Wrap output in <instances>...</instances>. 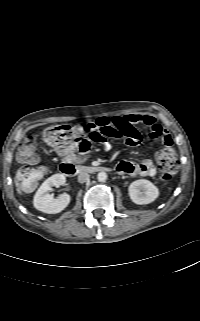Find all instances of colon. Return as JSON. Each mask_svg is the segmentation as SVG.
Segmentation results:
<instances>
[{
    "label": "colon",
    "instance_id": "colon-1",
    "mask_svg": "<svg viewBox=\"0 0 200 321\" xmlns=\"http://www.w3.org/2000/svg\"><path fill=\"white\" fill-rule=\"evenodd\" d=\"M112 136H115V132L110 127L95 128L91 124L55 125L48 127L43 133L44 141L60 152H70L75 148L82 153L87 152L92 145L103 143L107 137ZM18 157L23 163L35 165L24 167L18 173L23 186L32 189L45 173V168L37 165L39 156L34 137L29 136L23 140ZM157 161L161 170V180H171L179 166L175 152L172 149H166L157 156Z\"/></svg>",
    "mask_w": 200,
    "mask_h": 321
}]
</instances>
